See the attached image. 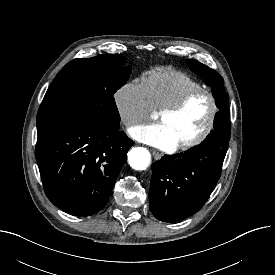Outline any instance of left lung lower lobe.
Wrapping results in <instances>:
<instances>
[{
  "instance_id": "1",
  "label": "left lung lower lobe",
  "mask_w": 275,
  "mask_h": 275,
  "mask_svg": "<svg viewBox=\"0 0 275 275\" xmlns=\"http://www.w3.org/2000/svg\"><path fill=\"white\" fill-rule=\"evenodd\" d=\"M229 141L210 139L152 165L150 210L164 222H178L199 211L218 179Z\"/></svg>"
}]
</instances>
